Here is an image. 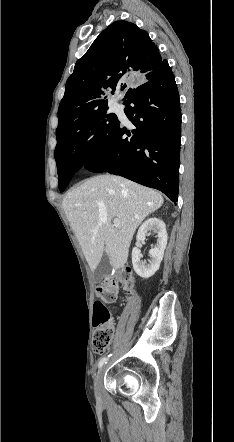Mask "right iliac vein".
<instances>
[{"label":"right iliac vein","mask_w":234,"mask_h":442,"mask_svg":"<svg viewBox=\"0 0 234 442\" xmlns=\"http://www.w3.org/2000/svg\"><path fill=\"white\" fill-rule=\"evenodd\" d=\"M105 372V366H103L99 371L94 381V390L97 398H101L103 394V375Z\"/></svg>","instance_id":"right-iliac-vein-1"}]
</instances>
